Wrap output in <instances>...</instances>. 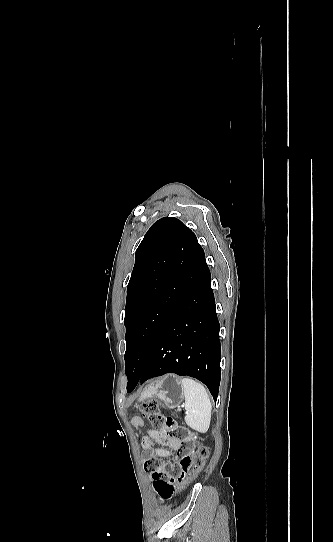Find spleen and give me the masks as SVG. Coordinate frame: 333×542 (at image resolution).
Here are the masks:
<instances>
[{
  "mask_svg": "<svg viewBox=\"0 0 333 542\" xmlns=\"http://www.w3.org/2000/svg\"><path fill=\"white\" fill-rule=\"evenodd\" d=\"M181 386L185 398L184 408L187 412L185 422L189 428L206 434L211 424V402L203 384L192 378H182Z\"/></svg>",
  "mask_w": 333,
  "mask_h": 542,
  "instance_id": "obj_1",
  "label": "spleen"
}]
</instances>
